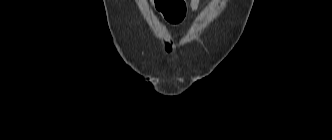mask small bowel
Segmentation results:
<instances>
[{"label":"small bowel","instance_id":"obj_1","mask_svg":"<svg viewBox=\"0 0 332 140\" xmlns=\"http://www.w3.org/2000/svg\"><path fill=\"white\" fill-rule=\"evenodd\" d=\"M199 3H200V0H190L189 10L192 15L196 14L198 7H199ZM183 18H184V16L179 20H174V21H169V22L177 24V23H180L183 20ZM165 48H166L167 53H171L173 51L172 43L170 41H167Z\"/></svg>","mask_w":332,"mask_h":140}]
</instances>
